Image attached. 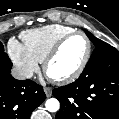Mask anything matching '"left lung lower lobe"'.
I'll return each mask as SVG.
<instances>
[{"label": "left lung lower lobe", "mask_w": 119, "mask_h": 119, "mask_svg": "<svg viewBox=\"0 0 119 119\" xmlns=\"http://www.w3.org/2000/svg\"><path fill=\"white\" fill-rule=\"evenodd\" d=\"M56 119H119V51L114 47L89 61L73 83L55 88Z\"/></svg>", "instance_id": "0a47b994"}]
</instances>
